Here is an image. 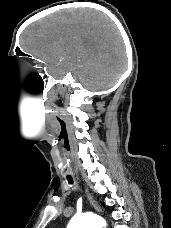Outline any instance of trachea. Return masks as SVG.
<instances>
[{
    "label": "trachea",
    "instance_id": "trachea-1",
    "mask_svg": "<svg viewBox=\"0 0 171 228\" xmlns=\"http://www.w3.org/2000/svg\"><path fill=\"white\" fill-rule=\"evenodd\" d=\"M67 180H68L69 184H73V179H72V177L67 176Z\"/></svg>",
    "mask_w": 171,
    "mask_h": 228
}]
</instances>
